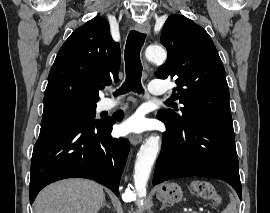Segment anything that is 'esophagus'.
<instances>
[{
	"instance_id": "34e87169",
	"label": "esophagus",
	"mask_w": 270,
	"mask_h": 213,
	"mask_svg": "<svg viewBox=\"0 0 270 213\" xmlns=\"http://www.w3.org/2000/svg\"><path fill=\"white\" fill-rule=\"evenodd\" d=\"M135 28L137 31L141 32V33H145L147 35L150 34L151 31V27L149 25V23L144 22V23H137L135 25ZM142 135H130L129 136V140L131 142L132 145H138L139 143H141L142 141Z\"/></svg>"
}]
</instances>
